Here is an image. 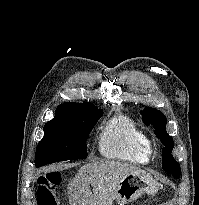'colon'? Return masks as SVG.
Segmentation results:
<instances>
[{
	"label": "colon",
	"instance_id": "5ec220e1",
	"mask_svg": "<svg viewBox=\"0 0 199 205\" xmlns=\"http://www.w3.org/2000/svg\"><path fill=\"white\" fill-rule=\"evenodd\" d=\"M60 182L61 175L59 174L48 173L43 177L38 188L39 205H57L54 191Z\"/></svg>",
	"mask_w": 199,
	"mask_h": 205
}]
</instances>
